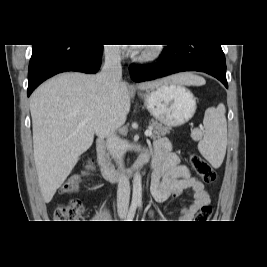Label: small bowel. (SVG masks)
Returning <instances> with one entry per match:
<instances>
[{
    "mask_svg": "<svg viewBox=\"0 0 267 267\" xmlns=\"http://www.w3.org/2000/svg\"><path fill=\"white\" fill-rule=\"evenodd\" d=\"M153 150L152 195L157 202H165L171 197H180L185 190H191L192 202L182 209L181 214L182 221L189 222L201 207L210 202L209 193L201 180L191 176L188 168L180 163L166 138L155 140ZM143 157L148 158V153ZM78 188L76 182L72 191H77Z\"/></svg>",
    "mask_w": 267,
    "mask_h": 267,
    "instance_id": "small-bowel-1",
    "label": "small bowel"
}]
</instances>
